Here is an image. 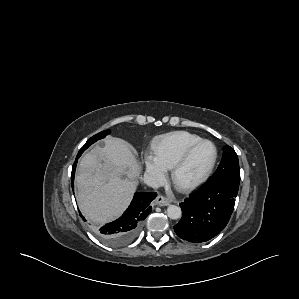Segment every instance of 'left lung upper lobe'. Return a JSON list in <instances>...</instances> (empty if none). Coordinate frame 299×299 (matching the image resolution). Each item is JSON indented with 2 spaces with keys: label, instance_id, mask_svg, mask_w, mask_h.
Segmentation results:
<instances>
[{
  "label": "left lung upper lobe",
  "instance_id": "1",
  "mask_svg": "<svg viewBox=\"0 0 299 299\" xmlns=\"http://www.w3.org/2000/svg\"><path fill=\"white\" fill-rule=\"evenodd\" d=\"M209 181H230L235 184L240 183L238 156L230 146L224 147L221 163Z\"/></svg>",
  "mask_w": 299,
  "mask_h": 299
}]
</instances>
